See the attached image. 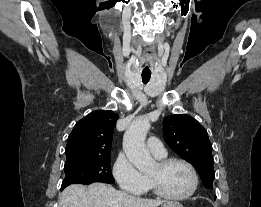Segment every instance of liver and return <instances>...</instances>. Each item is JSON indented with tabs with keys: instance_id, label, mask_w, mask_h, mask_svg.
<instances>
[{
	"instance_id": "1",
	"label": "liver",
	"mask_w": 261,
	"mask_h": 207,
	"mask_svg": "<svg viewBox=\"0 0 261 207\" xmlns=\"http://www.w3.org/2000/svg\"><path fill=\"white\" fill-rule=\"evenodd\" d=\"M163 200L131 196L105 183H93L87 189L73 184L62 192L58 207H158Z\"/></svg>"
}]
</instances>
